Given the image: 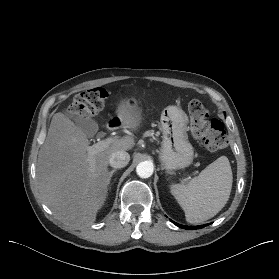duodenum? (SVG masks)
<instances>
[{
	"label": "duodenum",
	"mask_w": 279,
	"mask_h": 279,
	"mask_svg": "<svg viewBox=\"0 0 279 279\" xmlns=\"http://www.w3.org/2000/svg\"><path fill=\"white\" fill-rule=\"evenodd\" d=\"M116 126V121L115 120H110L108 123L109 129H113Z\"/></svg>",
	"instance_id": "410a0bca"
}]
</instances>
